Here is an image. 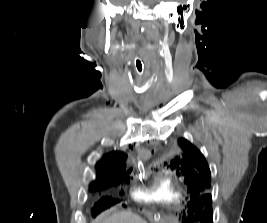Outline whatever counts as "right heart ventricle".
<instances>
[{"label": "right heart ventricle", "mask_w": 267, "mask_h": 223, "mask_svg": "<svg viewBox=\"0 0 267 223\" xmlns=\"http://www.w3.org/2000/svg\"><path fill=\"white\" fill-rule=\"evenodd\" d=\"M134 198L148 203L178 205L184 199V191L180 183L173 177L161 175L148 190H136Z\"/></svg>", "instance_id": "obj_1"}]
</instances>
